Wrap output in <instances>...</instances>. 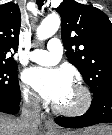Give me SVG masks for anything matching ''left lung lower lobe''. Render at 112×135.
<instances>
[{"label":"left lung lower lobe","instance_id":"left-lung-lower-lobe-1","mask_svg":"<svg viewBox=\"0 0 112 135\" xmlns=\"http://www.w3.org/2000/svg\"><path fill=\"white\" fill-rule=\"evenodd\" d=\"M55 122L66 128H83L99 123H112V91L94 97L90 109L78 117H57Z\"/></svg>","mask_w":112,"mask_h":135}]
</instances>
